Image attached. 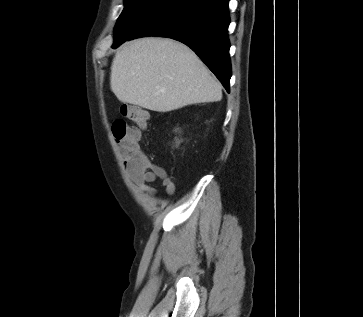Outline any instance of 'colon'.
Wrapping results in <instances>:
<instances>
[{"label": "colon", "instance_id": "colon-1", "mask_svg": "<svg viewBox=\"0 0 363 317\" xmlns=\"http://www.w3.org/2000/svg\"><path fill=\"white\" fill-rule=\"evenodd\" d=\"M120 112L122 117L112 124L113 138L120 147L126 166L140 168L146 161L145 155L139 151L141 131L147 126L149 115L140 107L126 104L121 106Z\"/></svg>", "mask_w": 363, "mask_h": 317}]
</instances>
